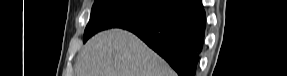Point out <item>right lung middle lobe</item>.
Returning a JSON list of instances; mask_svg holds the SVG:
<instances>
[{"label": "right lung middle lobe", "mask_w": 287, "mask_h": 76, "mask_svg": "<svg viewBox=\"0 0 287 76\" xmlns=\"http://www.w3.org/2000/svg\"><path fill=\"white\" fill-rule=\"evenodd\" d=\"M171 0H95L84 42L96 33L110 29L139 27L160 14Z\"/></svg>", "instance_id": "right-lung-middle-lobe-1"}]
</instances>
